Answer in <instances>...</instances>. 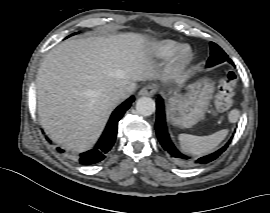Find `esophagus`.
Masks as SVG:
<instances>
[{"mask_svg": "<svg viewBox=\"0 0 270 213\" xmlns=\"http://www.w3.org/2000/svg\"><path fill=\"white\" fill-rule=\"evenodd\" d=\"M157 92L154 85H146L139 91V96H153Z\"/></svg>", "mask_w": 270, "mask_h": 213, "instance_id": "34e87169", "label": "esophagus"}]
</instances>
